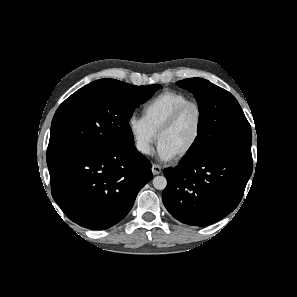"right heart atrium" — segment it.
I'll return each mask as SVG.
<instances>
[{"label":"right heart atrium","instance_id":"1","mask_svg":"<svg viewBox=\"0 0 297 297\" xmlns=\"http://www.w3.org/2000/svg\"><path fill=\"white\" fill-rule=\"evenodd\" d=\"M127 127L136 151L142 155H149L156 140V133L143 117L137 115L128 118Z\"/></svg>","mask_w":297,"mask_h":297}]
</instances>
